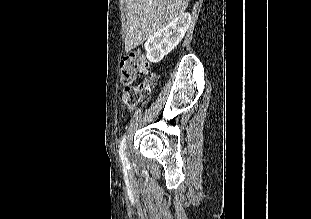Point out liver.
Segmentation results:
<instances>
[{
    "instance_id": "6515ba94",
    "label": "liver",
    "mask_w": 311,
    "mask_h": 219,
    "mask_svg": "<svg viewBox=\"0 0 311 219\" xmlns=\"http://www.w3.org/2000/svg\"><path fill=\"white\" fill-rule=\"evenodd\" d=\"M189 0H125V51L142 44L184 13Z\"/></svg>"
}]
</instances>
